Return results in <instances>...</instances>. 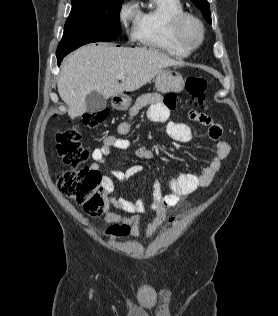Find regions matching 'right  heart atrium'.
Returning <instances> with one entry per match:
<instances>
[{
    "label": "right heart atrium",
    "mask_w": 278,
    "mask_h": 316,
    "mask_svg": "<svg viewBox=\"0 0 278 316\" xmlns=\"http://www.w3.org/2000/svg\"><path fill=\"white\" fill-rule=\"evenodd\" d=\"M140 19V11L137 3L134 0H124L118 11V21L131 40H135L137 37V29Z\"/></svg>",
    "instance_id": "d8ad5b80"
}]
</instances>
